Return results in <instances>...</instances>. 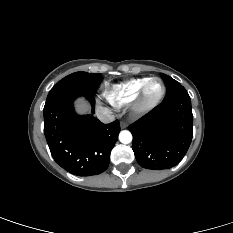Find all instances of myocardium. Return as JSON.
I'll return each mask as SVG.
<instances>
[{
	"instance_id": "obj_1",
	"label": "myocardium",
	"mask_w": 233,
	"mask_h": 233,
	"mask_svg": "<svg viewBox=\"0 0 233 233\" xmlns=\"http://www.w3.org/2000/svg\"><path fill=\"white\" fill-rule=\"evenodd\" d=\"M154 81H158L161 84L160 94L153 100H148L146 97L147 89ZM166 93V86L162 79L158 77L149 78L139 90L134 100V110L138 113H146L154 109L163 100Z\"/></svg>"
}]
</instances>
